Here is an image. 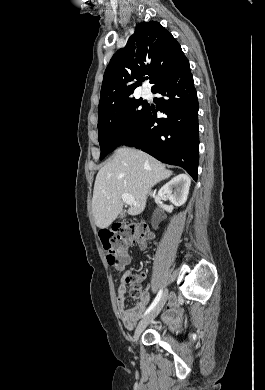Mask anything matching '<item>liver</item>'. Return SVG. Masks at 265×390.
<instances>
[{
    "instance_id": "obj_1",
    "label": "liver",
    "mask_w": 265,
    "mask_h": 390,
    "mask_svg": "<svg viewBox=\"0 0 265 390\" xmlns=\"http://www.w3.org/2000/svg\"><path fill=\"white\" fill-rule=\"evenodd\" d=\"M172 171L152 156L133 148L122 147L98 172L94 184L92 212L95 224L107 228L123 209L122 194L132 195L137 205L128 214H141L147 194L157 183L168 179Z\"/></svg>"
}]
</instances>
